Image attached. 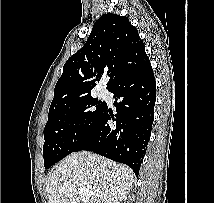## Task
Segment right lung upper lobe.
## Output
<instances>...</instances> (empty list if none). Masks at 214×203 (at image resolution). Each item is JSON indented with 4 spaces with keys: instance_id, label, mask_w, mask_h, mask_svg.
<instances>
[{
    "instance_id": "obj_1",
    "label": "right lung upper lobe",
    "mask_w": 214,
    "mask_h": 203,
    "mask_svg": "<svg viewBox=\"0 0 214 203\" xmlns=\"http://www.w3.org/2000/svg\"><path fill=\"white\" fill-rule=\"evenodd\" d=\"M149 63L144 43L129 19L104 14L95 22L84 46L65 63L49 111L91 96V89L103 75L109 77V90Z\"/></svg>"
}]
</instances>
